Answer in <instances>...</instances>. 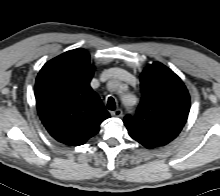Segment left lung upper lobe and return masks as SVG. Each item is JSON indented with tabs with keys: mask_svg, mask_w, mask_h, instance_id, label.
<instances>
[{
	"mask_svg": "<svg viewBox=\"0 0 220 196\" xmlns=\"http://www.w3.org/2000/svg\"><path fill=\"white\" fill-rule=\"evenodd\" d=\"M142 98L134 116L124 117L128 133L146 148L164 146L175 139L186 123L190 98L181 79L159 62L140 75Z\"/></svg>",
	"mask_w": 220,
	"mask_h": 196,
	"instance_id": "1",
	"label": "left lung upper lobe"
}]
</instances>
